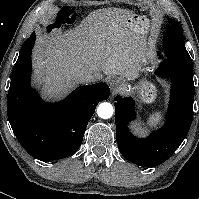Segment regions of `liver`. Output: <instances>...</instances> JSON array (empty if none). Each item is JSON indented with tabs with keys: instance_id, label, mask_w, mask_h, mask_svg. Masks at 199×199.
I'll return each mask as SVG.
<instances>
[{
	"instance_id": "1",
	"label": "liver",
	"mask_w": 199,
	"mask_h": 199,
	"mask_svg": "<svg viewBox=\"0 0 199 199\" xmlns=\"http://www.w3.org/2000/svg\"><path fill=\"white\" fill-rule=\"evenodd\" d=\"M135 15L120 8L100 9L77 27L41 39L34 56L35 78L44 83L45 94L61 96L82 83L80 75L90 72L137 77L144 49L145 29L128 19Z\"/></svg>"
}]
</instances>
